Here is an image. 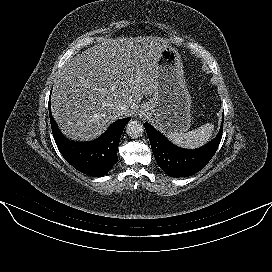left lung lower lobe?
<instances>
[{"instance_id":"0a47b994","label":"left lung lower lobe","mask_w":272,"mask_h":272,"mask_svg":"<svg viewBox=\"0 0 272 272\" xmlns=\"http://www.w3.org/2000/svg\"><path fill=\"white\" fill-rule=\"evenodd\" d=\"M144 127L158 166L171 177H188L202 170L216 153L222 138L223 121L218 135L195 150L173 145L148 123Z\"/></svg>"}]
</instances>
